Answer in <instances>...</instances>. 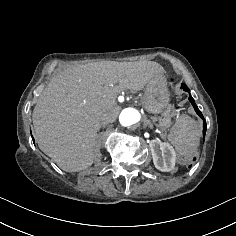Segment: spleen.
Instances as JSON below:
<instances>
[{
    "label": "spleen",
    "instance_id": "1",
    "mask_svg": "<svg viewBox=\"0 0 236 236\" xmlns=\"http://www.w3.org/2000/svg\"><path fill=\"white\" fill-rule=\"evenodd\" d=\"M201 129L194 119L182 116L177 119L168 134V140L181 155L191 156L200 142Z\"/></svg>",
    "mask_w": 236,
    "mask_h": 236
}]
</instances>
